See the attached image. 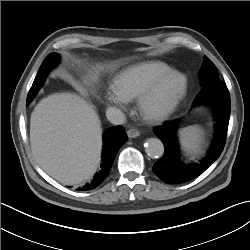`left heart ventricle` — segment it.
Wrapping results in <instances>:
<instances>
[{
  "label": "left heart ventricle",
  "mask_w": 250,
  "mask_h": 250,
  "mask_svg": "<svg viewBox=\"0 0 250 250\" xmlns=\"http://www.w3.org/2000/svg\"><path fill=\"white\" fill-rule=\"evenodd\" d=\"M179 85L180 80L177 78L165 82L151 104L152 109L163 106L175 94Z\"/></svg>",
  "instance_id": "left-heart-ventricle-1"
}]
</instances>
